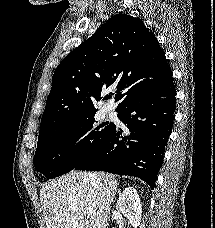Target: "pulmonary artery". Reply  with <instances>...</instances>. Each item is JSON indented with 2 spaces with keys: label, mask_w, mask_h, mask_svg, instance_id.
I'll return each mask as SVG.
<instances>
[{
  "label": "pulmonary artery",
  "mask_w": 215,
  "mask_h": 228,
  "mask_svg": "<svg viewBox=\"0 0 215 228\" xmlns=\"http://www.w3.org/2000/svg\"><path fill=\"white\" fill-rule=\"evenodd\" d=\"M105 113L107 116H112L113 115V109L109 107L106 109Z\"/></svg>",
  "instance_id": "pulmonary-artery-1"
}]
</instances>
